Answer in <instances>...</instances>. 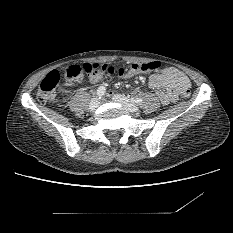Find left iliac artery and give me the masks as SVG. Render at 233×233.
I'll return each mask as SVG.
<instances>
[{"mask_svg":"<svg viewBox=\"0 0 233 233\" xmlns=\"http://www.w3.org/2000/svg\"><path fill=\"white\" fill-rule=\"evenodd\" d=\"M133 102H135L136 104H141L143 100L141 98H136L135 100H133Z\"/></svg>","mask_w":233,"mask_h":233,"instance_id":"44dca946","label":"left iliac artery"}]
</instances>
